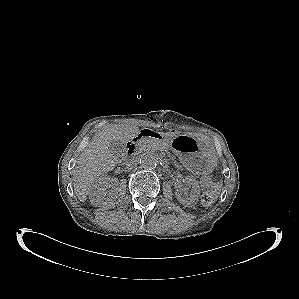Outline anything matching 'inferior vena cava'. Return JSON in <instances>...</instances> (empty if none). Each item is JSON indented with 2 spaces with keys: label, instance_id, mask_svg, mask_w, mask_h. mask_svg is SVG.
<instances>
[{
  "label": "inferior vena cava",
  "instance_id": "1",
  "mask_svg": "<svg viewBox=\"0 0 299 299\" xmlns=\"http://www.w3.org/2000/svg\"><path fill=\"white\" fill-rule=\"evenodd\" d=\"M127 165H128L129 167H135V166L138 165V161H137L136 159H132V160H130V161L127 163Z\"/></svg>",
  "mask_w": 299,
  "mask_h": 299
}]
</instances>
